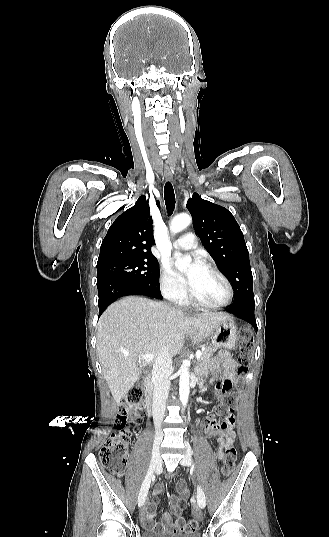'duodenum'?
I'll use <instances>...</instances> for the list:
<instances>
[{"label":"duodenum","instance_id":"duodenum-1","mask_svg":"<svg viewBox=\"0 0 329 537\" xmlns=\"http://www.w3.org/2000/svg\"><path fill=\"white\" fill-rule=\"evenodd\" d=\"M144 387V402L147 416H151L152 412V382L149 376L143 380Z\"/></svg>","mask_w":329,"mask_h":537}]
</instances>
